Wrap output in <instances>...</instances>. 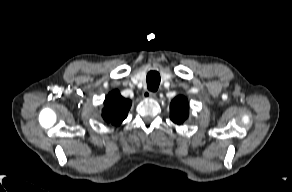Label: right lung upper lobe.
<instances>
[{"label": "right lung upper lobe", "mask_w": 292, "mask_h": 192, "mask_svg": "<svg viewBox=\"0 0 292 192\" xmlns=\"http://www.w3.org/2000/svg\"><path fill=\"white\" fill-rule=\"evenodd\" d=\"M131 107V101L120 95L118 90L110 92L105 101L102 110L103 119L112 125H120L127 117Z\"/></svg>", "instance_id": "obj_1"}]
</instances>
